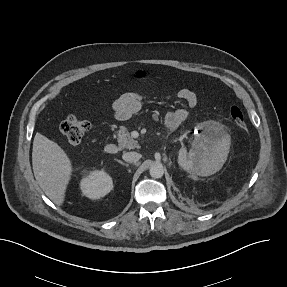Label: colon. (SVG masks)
<instances>
[{
  "label": "colon",
  "instance_id": "colon-1",
  "mask_svg": "<svg viewBox=\"0 0 287 287\" xmlns=\"http://www.w3.org/2000/svg\"><path fill=\"white\" fill-rule=\"evenodd\" d=\"M138 78H144V72H137ZM229 116L233 123L241 128H246V120L242 110L238 106H231ZM90 128V123L87 120L81 119L76 115H69L60 125V131L67 141L72 145L79 144Z\"/></svg>",
  "mask_w": 287,
  "mask_h": 287
}]
</instances>
